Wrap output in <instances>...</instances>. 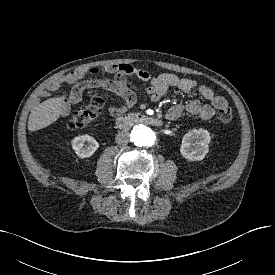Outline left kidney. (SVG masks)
I'll return each mask as SVG.
<instances>
[{"instance_id": "5707ae66", "label": "left kidney", "mask_w": 275, "mask_h": 275, "mask_svg": "<svg viewBox=\"0 0 275 275\" xmlns=\"http://www.w3.org/2000/svg\"><path fill=\"white\" fill-rule=\"evenodd\" d=\"M210 133L204 129H193L182 139L181 155L189 161L203 160L209 151Z\"/></svg>"}]
</instances>
